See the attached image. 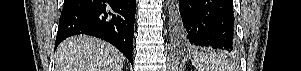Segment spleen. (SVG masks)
I'll list each match as a JSON object with an SVG mask.
<instances>
[{
    "label": "spleen",
    "mask_w": 301,
    "mask_h": 71,
    "mask_svg": "<svg viewBox=\"0 0 301 71\" xmlns=\"http://www.w3.org/2000/svg\"><path fill=\"white\" fill-rule=\"evenodd\" d=\"M191 62L198 71H231L232 69L226 59L212 53L196 54Z\"/></svg>",
    "instance_id": "3e777b00"
}]
</instances>
